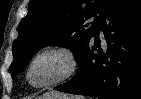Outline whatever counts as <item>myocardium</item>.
<instances>
[{
    "label": "myocardium",
    "mask_w": 141,
    "mask_h": 99,
    "mask_svg": "<svg viewBox=\"0 0 141 99\" xmlns=\"http://www.w3.org/2000/svg\"><path fill=\"white\" fill-rule=\"evenodd\" d=\"M50 53H59V54L64 55L66 57V59L68 60L69 69L66 72V74H64L62 77H60L54 81H51L49 83L42 84V85H36L31 81V78H30L31 70L39 58H41L42 56H44L46 54H50ZM78 67H79L78 58L72 48H70L69 46H65V45L50 46V47L44 48L43 50L39 51L31 59L29 65L27 67V70H26V80L28 81V83L32 87H34L36 89H47V88L57 86L59 84H62L64 82L70 80L77 73Z\"/></svg>",
    "instance_id": "obj_1"
}]
</instances>
